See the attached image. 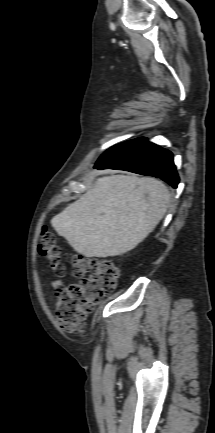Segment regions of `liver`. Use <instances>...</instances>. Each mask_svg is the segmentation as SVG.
I'll list each match as a JSON object with an SVG mask.
<instances>
[{
    "label": "liver",
    "mask_w": 215,
    "mask_h": 433,
    "mask_svg": "<svg viewBox=\"0 0 215 433\" xmlns=\"http://www.w3.org/2000/svg\"><path fill=\"white\" fill-rule=\"evenodd\" d=\"M169 203L168 188L155 178L105 176L54 216L51 224L85 257L119 256L134 249L154 230Z\"/></svg>",
    "instance_id": "6515ba94"
}]
</instances>
